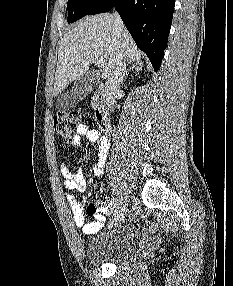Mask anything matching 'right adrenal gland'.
<instances>
[{
    "mask_svg": "<svg viewBox=\"0 0 233 286\" xmlns=\"http://www.w3.org/2000/svg\"><path fill=\"white\" fill-rule=\"evenodd\" d=\"M142 67H143V63L141 61L137 60V61L133 62L132 65L130 66V68L126 71L125 78L128 77L129 72L131 70L135 69L136 71H140V70H142Z\"/></svg>",
    "mask_w": 233,
    "mask_h": 286,
    "instance_id": "right-adrenal-gland-1",
    "label": "right adrenal gland"
}]
</instances>
